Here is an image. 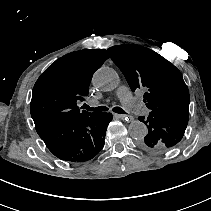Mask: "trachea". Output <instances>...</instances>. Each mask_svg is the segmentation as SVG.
<instances>
[{"label":"trachea","mask_w":211,"mask_h":211,"mask_svg":"<svg viewBox=\"0 0 211 211\" xmlns=\"http://www.w3.org/2000/svg\"><path fill=\"white\" fill-rule=\"evenodd\" d=\"M84 108L88 111L100 112V111H107L108 108L105 106H98V107H89L87 104H84ZM113 111L118 114H127L122 108L114 107Z\"/></svg>","instance_id":"obj_1"}]
</instances>
